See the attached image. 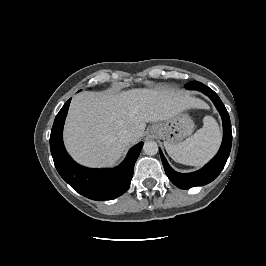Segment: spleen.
Segmentation results:
<instances>
[{
  "label": "spleen",
  "mask_w": 266,
  "mask_h": 266,
  "mask_svg": "<svg viewBox=\"0 0 266 266\" xmlns=\"http://www.w3.org/2000/svg\"><path fill=\"white\" fill-rule=\"evenodd\" d=\"M221 141V132L216 120L211 116L203 119V127L193 136L178 144L164 142L169 156L176 162L202 166L216 153Z\"/></svg>",
  "instance_id": "3e777b00"
}]
</instances>
